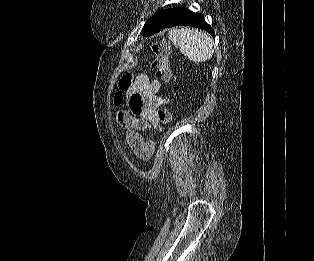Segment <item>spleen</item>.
I'll return each instance as SVG.
<instances>
[{
	"label": "spleen",
	"instance_id": "3e777b00",
	"mask_svg": "<svg viewBox=\"0 0 314 261\" xmlns=\"http://www.w3.org/2000/svg\"><path fill=\"white\" fill-rule=\"evenodd\" d=\"M169 38L184 56L195 63L209 60L214 53L213 39L197 29H171Z\"/></svg>",
	"mask_w": 314,
	"mask_h": 261
}]
</instances>
